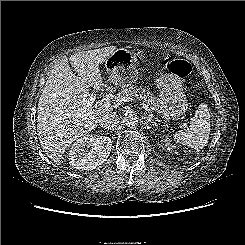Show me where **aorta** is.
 <instances>
[{
    "instance_id": "obj_1",
    "label": "aorta",
    "mask_w": 245,
    "mask_h": 245,
    "mask_svg": "<svg viewBox=\"0 0 245 245\" xmlns=\"http://www.w3.org/2000/svg\"><path fill=\"white\" fill-rule=\"evenodd\" d=\"M138 121H139L138 116L133 112L126 113L123 118V123L127 127L136 126L138 124Z\"/></svg>"
}]
</instances>
